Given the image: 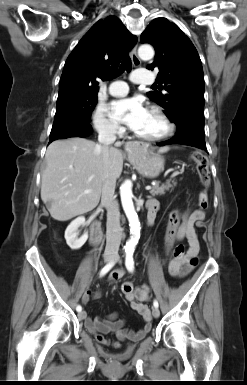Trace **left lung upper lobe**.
Wrapping results in <instances>:
<instances>
[{
    "label": "left lung upper lobe",
    "mask_w": 247,
    "mask_h": 385,
    "mask_svg": "<svg viewBox=\"0 0 247 385\" xmlns=\"http://www.w3.org/2000/svg\"><path fill=\"white\" fill-rule=\"evenodd\" d=\"M141 42L152 44L156 52L155 61L147 68L159 69L160 91L148 92V97L162 106L173 122L182 114L204 115L203 69L190 39L176 24L160 17L141 34Z\"/></svg>",
    "instance_id": "5c2ea615"
}]
</instances>
